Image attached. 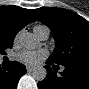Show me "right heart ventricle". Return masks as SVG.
<instances>
[{
  "label": "right heart ventricle",
  "instance_id": "right-heart-ventricle-1",
  "mask_svg": "<svg viewBox=\"0 0 89 89\" xmlns=\"http://www.w3.org/2000/svg\"><path fill=\"white\" fill-rule=\"evenodd\" d=\"M38 27H42V25H38V26H36L35 28H38Z\"/></svg>",
  "mask_w": 89,
  "mask_h": 89
}]
</instances>
